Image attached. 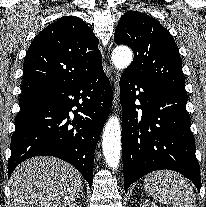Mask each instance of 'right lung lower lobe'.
I'll use <instances>...</instances> for the list:
<instances>
[{
  "label": "right lung lower lobe",
  "instance_id": "right-lung-lower-lobe-1",
  "mask_svg": "<svg viewBox=\"0 0 206 207\" xmlns=\"http://www.w3.org/2000/svg\"><path fill=\"white\" fill-rule=\"evenodd\" d=\"M11 139L8 176L22 161L54 156L73 165L92 185L94 149L112 104L110 82L101 70L79 82L30 94ZM73 107H77L72 111ZM74 119L71 121L69 112Z\"/></svg>",
  "mask_w": 206,
  "mask_h": 207
}]
</instances>
